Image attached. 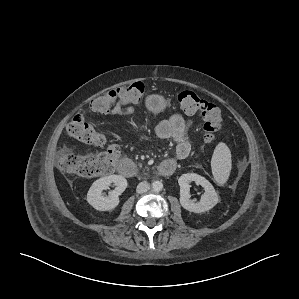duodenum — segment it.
Masks as SVG:
<instances>
[{
  "label": "duodenum",
  "mask_w": 299,
  "mask_h": 299,
  "mask_svg": "<svg viewBox=\"0 0 299 299\" xmlns=\"http://www.w3.org/2000/svg\"><path fill=\"white\" fill-rule=\"evenodd\" d=\"M176 164L173 160H165L157 166V173L161 176H170L174 173ZM118 171L121 175L132 177L136 175L133 163L130 160H121L118 164Z\"/></svg>",
  "instance_id": "obj_1"
}]
</instances>
